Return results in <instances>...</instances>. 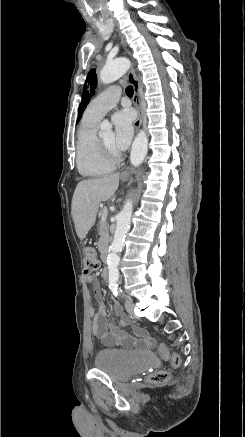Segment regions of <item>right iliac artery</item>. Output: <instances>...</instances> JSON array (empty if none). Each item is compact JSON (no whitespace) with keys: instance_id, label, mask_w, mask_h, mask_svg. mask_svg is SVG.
Returning a JSON list of instances; mask_svg holds the SVG:
<instances>
[{"instance_id":"right-iliac-artery-1","label":"right iliac artery","mask_w":245,"mask_h":437,"mask_svg":"<svg viewBox=\"0 0 245 437\" xmlns=\"http://www.w3.org/2000/svg\"><path fill=\"white\" fill-rule=\"evenodd\" d=\"M117 284L116 283H112L109 285V288L111 289L113 295L117 296L118 292H117Z\"/></svg>"}]
</instances>
